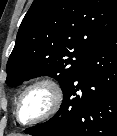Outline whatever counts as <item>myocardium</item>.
<instances>
[{
  "label": "myocardium",
  "instance_id": "obj_1",
  "mask_svg": "<svg viewBox=\"0 0 117 136\" xmlns=\"http://www.w3.org/2000/svg\"><path fill=\"white\" fill-rule=\"evenodd\" d=\"M36 88H44L50 93V96H51L50 106L40 116L34 119H31L29 121H23L21 120L20 114H19L20 105L22 103L23 98L26 96V94ZM63 98H64V93H63L62 86L56 79L50 78V77L37 79L34 82L27 85L19 94L17 102H16V107H15L16 119L19 123L24 125L37 124V123L46 121L52 118L59 111L63 103Z\"/></svg>",
  "mask_w": 117,
  "mask_h": 136
}]
</instances>
